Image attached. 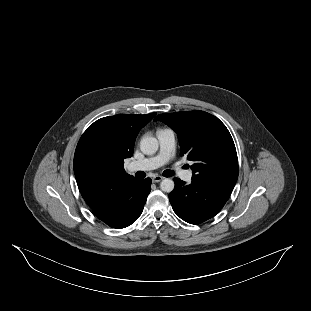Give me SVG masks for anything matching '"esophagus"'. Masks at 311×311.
I'll return each instance as SVG.
<instances>
[{"instance_id":"34e87169","label":"esophagus","mask_w":311,"mask_h":311,"mask_svg":"<svg viewBox=\"0 0 311 311\" xmlns=\"http://www.w3.org/2000/svg\"><path fill=\"white\" fill-rule=\"evenodd\" d=\"M161 180H163V177H162V176H159V175L154 176V177L152 178V181H153L154 183L160 182Z\"/></svg>"}]
</instances>
